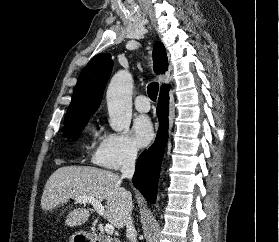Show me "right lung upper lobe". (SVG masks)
Instances as JSON below:
<instances>
[{
  "label": "right lung upper lobe",
  "mask_w": 279,
  "mask_h": 242,
  "mask_svg": "<svg viewBox=\"0 0 279 242\" xmlns=\"http://www.w3.org/2000/svg\"><path fill=\"white\" fill-rule=\"evenodd\" d=\"M153 64L157 73L163 74L167 70L166 51L161 42L154 45ZM112 65L113 61L108 53L98 54L89 61L78 78L64 125L79 123L93 115L101 102ZM167 90L169 86L164 84L160 92Z\"/></svg>",
  "instance_id": "right-lung-upper-lobe-1"
}]
</instances>
